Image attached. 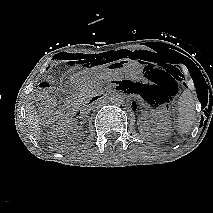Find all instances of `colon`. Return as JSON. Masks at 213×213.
<instances>
[{"instance_id":"obj_1","label":"colon","mask_w":213,"mask_h":213,"mask_svg":"<svg viewBox=\"0 0 213 213\" xmlns=\"http://www.w3.org/2000/svg\"><path fill=\"white\" fill-rule=\"evenodd\" d=\"M41 87L43 89L42 95H41V102L45 105L47 109H50L53 105V96L51 93V85L47 82H43L41 84Z\"/></svg>"}]
</instances>
